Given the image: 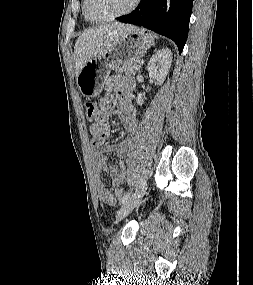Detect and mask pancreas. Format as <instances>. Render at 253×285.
<instances>
[{"label": "pancreas", "instance_id": "pancreas-1", "mask_svg": "<svg viewBox=\"0 0 253 285\" xmlns=\"http://www.w3.org/2000/svg\"><path fill=\"white\" fill-rule=\"evenodd\" d=\"M136 65H137V61H134L132 63H128L125 65L115 67V71H116V73H124L126 75H135L136 74V69H135Z\"/></svg>", "mask_w": 253, "mask_h": 285}]
</instances>
